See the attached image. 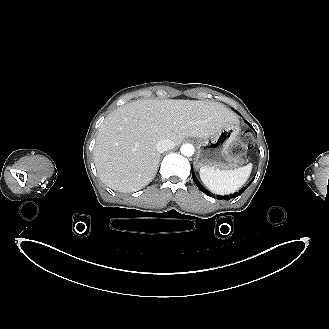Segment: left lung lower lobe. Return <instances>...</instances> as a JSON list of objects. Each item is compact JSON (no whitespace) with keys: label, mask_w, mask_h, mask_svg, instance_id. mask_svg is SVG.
Segmentation results:
<instances>
[{"label":"left lung lower lobe","mask_w":329,"mask_h":329,"mask_svg":"<svg viewBox=\"0 0 329 329\" xmlns=\"http://www.w3.org/2000/svg\"><path fill=\"white\" fill-rule=\"evenodd\" d=\"M247 124H249L247 121H245ZM250 125V124H249ZM251 126V125H250ZM192 177H193V180L195 182V184L197 185V187L203 192L205 193L206 195L208 196H211V194L198 182L197 178L195 177V174L193 172V169H192ZM254 180V178L252 179V181ZM252 181L247 185L245 186L244 188H242L240 191L238 192H235L234 194H231V195H225V196H218L219 199L221 200H230L232 198H236L237 196L241 195L247 188L248 186L252 183Z\"/></svg>","instance_id":"obj_1"}]
</instances>
